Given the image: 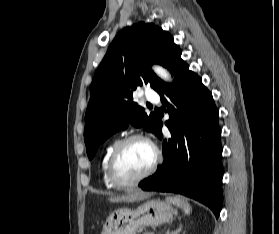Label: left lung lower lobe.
<instances>
[{
  "label": "left lung lower lobe",
  "mask_w": 279,
  "mask_h": 234,
  "mask_svg": "<svg viewBox=\"0 0 279 234\" xmlns=\"http://www.w3.org/2000/svg\"><path fill=\"white\" fill-rule=\"evenodd\" d=\"M181 53L178 50L168 65L174 85L161 81L155 89L170 116L165 122L171 137L163 142L164 162L139 186L144 191L191 197L207 205L218 218L223 201L219 112L212 94L189 70ZM162 125L160 120L155 133L160 139Z\"/></svg>",
  "instance_id": "left-lung-lower-lobe-1"
}]
</instances>
